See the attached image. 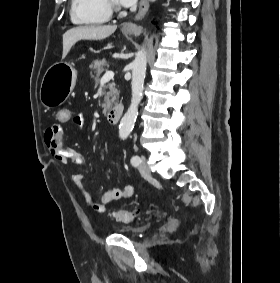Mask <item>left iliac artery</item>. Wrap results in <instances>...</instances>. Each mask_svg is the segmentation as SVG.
<instances>
[{
    "instance_id": "1",
    "label": "left iliac artery",
    "mask_w": 280,
    "mask_h": 283,
    "mask_svg": "<svg viewBox=\"0 0 280 283\" xmlns=\"http://www.w3.org/2000/svg\"><path fill=\"white\" fill-rule=\"evenodd\" d=\"M139 161H140V158H139V156H133L132 158H131V164L133 165V166H137L138 164H139Z\"/></svg>"
}]
</instances>
